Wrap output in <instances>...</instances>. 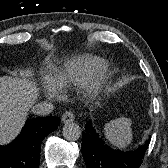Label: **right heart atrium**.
Instances as JSON below:
<instances>
[{"instance_id": "right-heart-atrium-1", "label": "right heart atrium", "mask_w": 168, "mask_h": 168, "mask_svg": "<svg viewBox=\"0 0 168 168\" xmlns=\"http://www.w3.org/2000/svg\"><path fill=\"white\" fill-rule=\"evenodd\" d=\"M44 89L48 96L52 98L58 97V90L52 83L46 82Z\"/></svg>"}]
</instances>
